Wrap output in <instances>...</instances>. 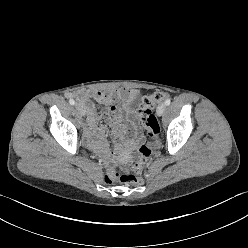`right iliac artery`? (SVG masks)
I'll return each mask as SVG.
<instances>
[{"mask_svg": "<svg viewBox=\"0 0 248 248\" xmlns=\"http://www.w3.org/2000/svg\"><path fill=\"white\" fill-rule=\"evenodd\" d=\"M69 103H70L71 105H74V104H75V101H74L73 99H70V100H69Z\"/></svg>", "mask_w": 248, "mask_h": 248, "instance_id": "1", "label": "right iliac artery"}]
</instances>
